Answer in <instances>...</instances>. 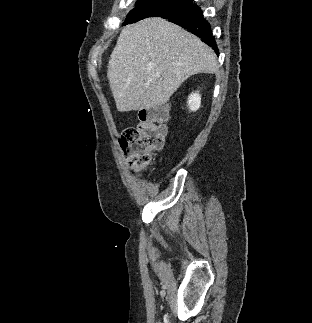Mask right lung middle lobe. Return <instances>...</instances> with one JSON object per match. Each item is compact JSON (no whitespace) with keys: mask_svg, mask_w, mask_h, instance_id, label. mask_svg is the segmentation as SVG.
I'll use <instances>...</instances> for the list:
<instances>
[{"mask_svg":"<svg viewBox=\"0 0 312 323\" xmlns=\"http://www.w3.org/2000/svg\"><path fill=\"white\" fill-rule=\"evenodd\" d=\"M193 4V0H137L136 7L129 12L124 25L148 17L164 16Z\"/></svg>","mask_w":312,"mask_h":323,"instance_id":"dd1d6c3e","label":"right lung middle lobe"}]
</instances>
